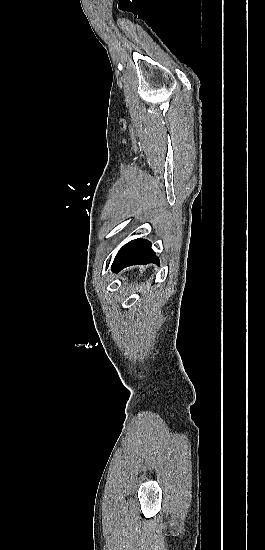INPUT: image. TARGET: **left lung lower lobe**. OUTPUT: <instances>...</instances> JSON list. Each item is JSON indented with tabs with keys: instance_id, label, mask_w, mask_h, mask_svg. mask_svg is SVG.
I'll list each match as a JSON object with an SVG mask.
<instances>
[{
	"instance_id": "1",
	"label": "left lung lower lobe",
	"mask_w": 265,
	"mask_h": 550,
	"mask_svg": "<svg viewBox=\"0 0 265 550\" xmlns=\"http://www.w3.org/2000/svg\"><path fill=\"white\" fill-rule=\"evenodd\" d=\"M159 264V259L151 248V243L143 239H135L124 245L117 253L112 264L114 272L135 264Z\"/></svg>"
}]
</instances>
